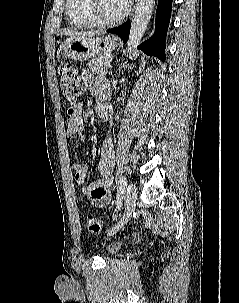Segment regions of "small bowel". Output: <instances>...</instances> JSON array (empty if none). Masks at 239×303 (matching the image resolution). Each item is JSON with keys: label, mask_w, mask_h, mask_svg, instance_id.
I'll return each mask as SVG.
<instances>
[{"label": "small bowel", "mask_w": 239, "mask_h": 303, "mask_svg": "<svg viewBox=\"0 0 239 303\" xmlns=\"http://www.w3.org/2000/svg\"><path fill=\"white\" fill-rule=\"evenodd\" d=\"M82 81L85 87L95 92L96 100L99 105H106L109 101L110 90L106 81L100 77L94 76L89 70L82 71ZM66 122L67 136L83 137L85 124L82 116V108L80 105L74 108H68ZM115 163V149L112 138L107 136L102 144L101 156L99 160V172L101 178L85 184L88 176V167L81 163H75L73 170L75 172V180L82 186V193L85 199L98 207L106 206L111 199V187L113 184V168Z\"/></svg>", "instance_id": "small-bowel-1"}]
</instances>
